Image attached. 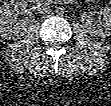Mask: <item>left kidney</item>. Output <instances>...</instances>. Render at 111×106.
Here are the masks:
<instances>
[{
	"label": "left kidney",
	"instance_id": "left-kidney-1",
	"mask_svg": "<svg viewBox=\"0 0 111 106\" xmlns=\"http://www.w3.org/2000/svg\"><path fill=\"white\" fill-rule=\"evenodd\" d=\"M100 14L103 16L88 27L89 32L94 36H109L111 34V9L104 7Z\"/></svg>",
	"mask_w": 111,
	"mask_h": 106
}]
</instances>
